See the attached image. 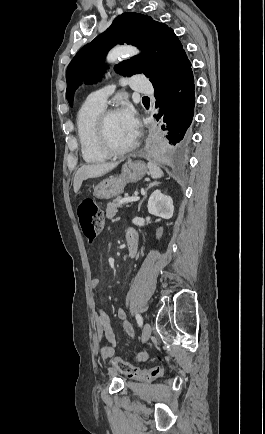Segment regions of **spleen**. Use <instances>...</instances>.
I'll return each instance as SVG.
<instances>
[{
	"label": "spleen",
	"instance_id": "1",
	"mask_svg": "<svg viewBox=\"0 0 265 434\" xmlns=\"http://www.w3.org/2000/svg\"><path fill=\"white\" fill-rule=\"evenodd\" d=\"M148 170L151 178H162L163 176L162 170L158 168L157 164H153V162H148Z\"/></svg>",
	"mask_w": 265,
	"mask_h": 434
}]
</instances>
